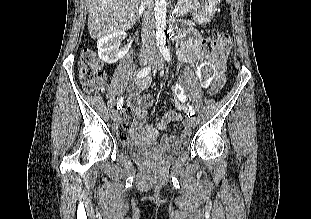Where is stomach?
I'll return each instance as SVG.
<instances>
[{
    "mask_svg": "<svg viewBox=\"0 0 311 219\" xmlns=\"http://www.w3.org/2000/svg\"><path fill=\"white\" fill-rule=\"evenodd\" d=\"M193 19L200 25L211 21L215 11L217 0H193Z\"/></svg>",
    "mask_w": 311,
    "mask_h": 219,
    "instance_id": "stomach-1",
    "label": "stomach"
}]
</instances>
